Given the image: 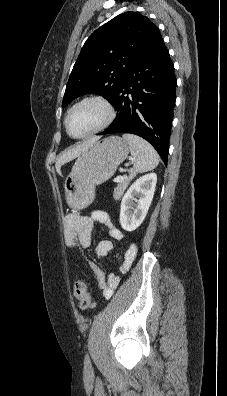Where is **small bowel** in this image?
Segmentation results:
<instances>
[{
	"label": "small bowel",
	"mask_w": 227,
	"mask_h": 396,
	"mask_svg": "<svg viewBox=\"0 0 227 396\" xmlns=\"http://www.w3.org/2000/svg\"><path fill=\"white\" fill-rule=\"evenodd\" d=\"M94 222H98L108 231L109 236L114 240H121V231L114 226L107 213L103 211H93L89 217L78 214H70L66 218L67 234L66 245L70 248H88L91 245ZM113 250V243L110 240L100 241L95 248V257L98 260L103 258ZM137 253L136 244H131L127 249L124 258L121 259L120 272H126L132 264ZM92 273L95 276L103 296L109 298L114 293L120 282V276L109 274L106 276L103 271L94 264H90Z\"/></svg>",
	"instance_id": "c3829d8e"
}]
</instances>
